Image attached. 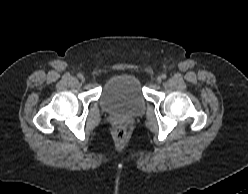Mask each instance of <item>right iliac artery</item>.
Segmentation results:
<instances>
[{
  "instance_id": "obj_1",
  "label": "right iliac artery",
  "mask_w": 248,
  "mask_h": 194,
  "mask_svg": "<svg viewBox=\"0 0 248 194\" xmlns=\"http://www.w3.org/2000/svg\"><path fill=\"white\" fill-rule=\"evenodd\" d=\"M77 76L81 78L83 75L81 73H78Z\"/></svg>"
}]
</instances>
